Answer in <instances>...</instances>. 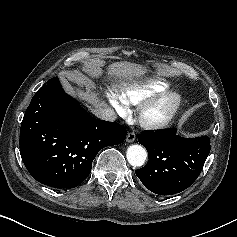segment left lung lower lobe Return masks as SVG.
<instances>
[{"mask_svg":"<svg viewBox=\"0 0 237 237\" xmlns=\"http://www.w3.org/2000/svg\"><path fill=\"white\" fill-rule=\"evenodd\" d=\"M176 128L144 131L138 141L148 152L147 164L136 175L158 195H173L187 189L199 176L210 152L208 136L183 138Z\"/></svg>","mask_w":237,"mask_h":237,"instance_id":"obj_1","label":"left lung lower lobe"}]
</instances>
